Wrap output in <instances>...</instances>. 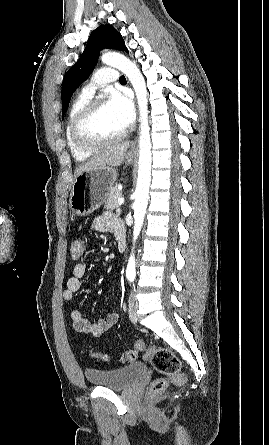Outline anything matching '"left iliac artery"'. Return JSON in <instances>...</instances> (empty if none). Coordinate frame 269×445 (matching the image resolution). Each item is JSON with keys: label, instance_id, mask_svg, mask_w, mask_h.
I'll return each instance as SVG.
<instances>
[{"label": "left iliac artery", "instance_id": "obj_1", "mask_svg": "<svg viewBox=\"0 0 269 445\" xmlns=\"http://www.w3.org/2000/svg\"><path fill=\"white\" fill-rule=\"evenodd\" d=\"M129 280L132 282L134 280V277H129Z\"/></svg>", "mask_w": 269, "mask_h": 445}]
</instances>
